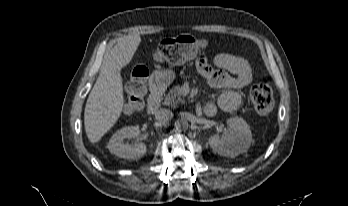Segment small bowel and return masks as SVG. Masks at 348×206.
Returning <instances> with one entry per match:
<instances>
[{"label":"small bowel","mask_w":348,"mask_h":206,"mask_svg":"<svg viewBox=\"0 0 348 206\" xmlns=\"http://www.w3.org/2000/svg\"><path fill=\"white\" fill-rule=\"evenodd\" d=\"M197 69L213 88L225 89L218 98L219 106L226 110L236 109L243 100L240 89L252 81V70L249 63L241 56L221 53L214 57L211 65L205 57L197 60ZM205 104L213 107L211 102Z\"/></svg>","instance_id":"obj_1"}]
</instances>
